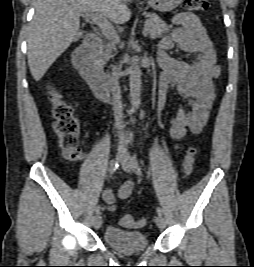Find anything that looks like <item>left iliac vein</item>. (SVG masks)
<instances>
[{"label":"left iliac vein","instance_id":"1","mask_svg":"<svg viewBox=\"0 0 254 267\" xmlns=\"http://www.w3.org/2000/svg\"><path fill=\"white\" fill-rule=\"evenodd\" d=\"M120 160L123 170L130 173L133 170V164L132 158L130 157L127 150H123ZM155 222L157 226L162 230L166 227V221L162 215L158 214L155 218Z\"/></svg>","mask_w":254,"mask_h":267}]
</instances>
